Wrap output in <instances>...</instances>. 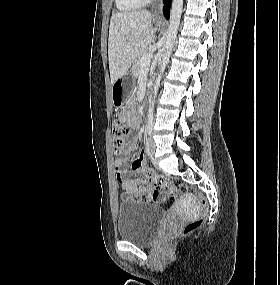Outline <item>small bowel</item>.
<instances>
[{"mask_svg": "<svg viewBox=\"0 0 280 285\" xmlns=\"http://www.w3.org/2000/svg\"><path fill=\"white\" fill-rule=\"evenodd\" d=\"M120 117L126 119L133 129H137L136 119L127 118L125 113H121ZM136 147V142L130 141L122 154L115 159V176L123 190L121 197L126 200L133 195H141L151 197L155 202H158L160 199L159 193L154 190L152 183L144 175V171L148 169L146 155L141 153L127 167L128 157L130 153L135 151ZM135 172H142L143 177L130 178V175Z\"/></svg>", "mask_w": 280, "mask_h": 285, "instance_id": "1", "label": "small bowel"}]
</instances>
